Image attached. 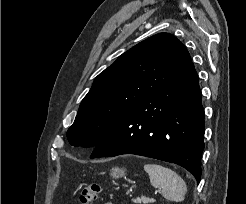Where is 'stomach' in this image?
<instances>
[{"label": "stomach", "instance_id": "1", "mask_svg": "<svg viewBox=\"0 0 246 204\" xmlns=\"http://www.w3.org/2000/svg\"><path fill=\"white\" fill-rule=\"evenodd\" d=\"M111 177L118 179L121 178L125 175V169L119 168V167H114L112 168L110 172Z\"/></svg>", "mask_w": 246, "mask_h": 204}]
</instances>
